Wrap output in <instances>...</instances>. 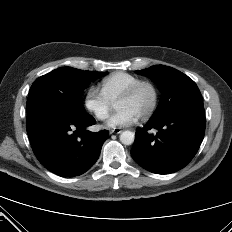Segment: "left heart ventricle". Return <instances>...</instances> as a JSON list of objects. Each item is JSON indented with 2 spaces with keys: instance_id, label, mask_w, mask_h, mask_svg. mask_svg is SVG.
Segmentation results:
<instances>
[{
  "instance_id": "1",
  "label": "left heart ventricle",
  "mask_w": 232,
  "mask_h": 232,
  "mask_svg": "<svg viewBox=\"0 0 232 232\" xmlns=\"http://www.w3.org/2000/svg\"><path fill=\"white\" fill-rule=\"evenodd\" d=\"M152 100V90L148 86H145L142 87L133 98L125 101H120L116 103L115 106L117 109H128L140 117L150 107Z\"/></svg>"
}]
</instances>
